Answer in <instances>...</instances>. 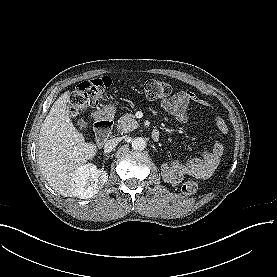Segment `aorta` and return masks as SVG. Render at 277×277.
<instances>
[{
	"label": "aorta",
	"instance_id": "aorta-1",
	"mask_svg": "<svg viewBox=\"0 0 277 277\" xmlns=\"http://www.w3.org/2000/svg\"><path fill=\"white\" fill-rule=\"evenodd\" d=\"M146 140L142 137H136L132 140L131 146L133 150L142 151L146 148Z\"/></svg>",
	"mask_w": 277,
	"mask_h": 277
}]
</instances>
